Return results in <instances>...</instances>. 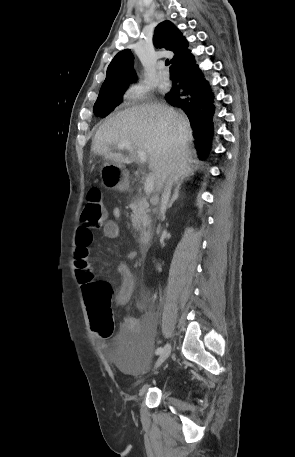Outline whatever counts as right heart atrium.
Returning <instances> with one entry per match:
<instances>
[{
    "label": "right heart atrium",
    "instance_id": "d8ad5b80",
    "mask_svg": "<svg viewBox=\"0 0 295 457\" xmlns=\"http://www.w3.org/2000/svg\"><path fill=\"white\" fill-rule=\"evenodd\" d=\"M151 90L141 84H132L124 92V97L130 102H139L146 99Z\"/></svg>",
    "mask_w": 295,
    "mask_h": 457
}]
</instances>
